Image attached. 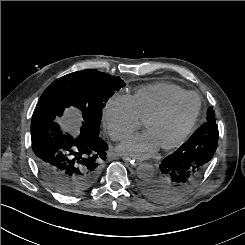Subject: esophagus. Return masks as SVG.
<instances>
[{"instance_id":"34e87169","label":"esophagus","mask_w":245,"mask_h":245,"mask_svg":"<svg viewBox=\"0 0 245 245\" xmlns=\"http://www.w3.org/2000/svg\"><path fill=\"white\" fill-rule=\"evenodd\" d=\"M122 159L125 162H128L130 166L132 167H136L140 164V161L135 159V158H131V157H127V156H123Z\"/></svg>"}]
</instances>
